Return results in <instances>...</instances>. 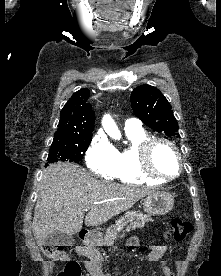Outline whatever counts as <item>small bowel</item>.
<instances>
[{
	"label": "small bowel",
	"instance_id": "obj_1",
	"mask_svg": "<svg viewBox=\"0 0 221 276\" xmlns=\"http://www.w3.org/2000/svg\"><path fill=\"white\" fill-rule=\"evenodd\" d=\"M137 245L138 240L133 238L130 241V246ZM166 251V246L158 244L152 245L147 253L146 258L151 262H160L164 276H175L164 259ZM78 253L86 258L84 265L91 276H112L107 272L104 259L96 249L90 247H79Z\"/></svg>",
	"mask_w": 221,
	"mask_h": 276
}]
</instances>
